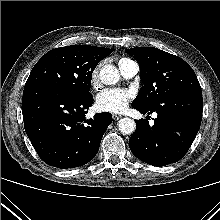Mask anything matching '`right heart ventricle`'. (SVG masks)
<instances>
[{
  "label": "right heart ventricle",
  "instance_id": "right-heart-ventricle-1",
  "mask_svg": "<svg viewBox=\"0 0 220 220\" xmlns=\"http://www.w3.org/2000/svg\"><path fill=\"white\" fill-rule=\"evenodd\" d=\"M127 60H129V59L123 58V59H121V60L119 61V64L122 63V62H124V61H127Z\"/></svg>",
  "mask_w": 220,
  "mask_h": 220
}]
</instances>
